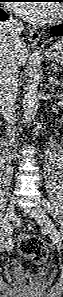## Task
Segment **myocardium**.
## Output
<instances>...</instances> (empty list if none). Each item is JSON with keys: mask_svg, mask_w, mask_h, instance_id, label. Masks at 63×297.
Listing matches in <instances>:
<instances>
[{"mask_svg": "<svg viewBox=\"0 0 63 297\" xmlns=\"http://www.w3.org/2000/svg\"><path fill=\"white\" fill-rule=\"evenodd\" d=\"M60 16V11L57 7H54L53 9V15H52V18H51V21L54 22L56 21Z\"/></svg>", "mask_w": 63, "mask_h": 297, "instance_id": "1", "label": "myocardium"}]
</instances>
